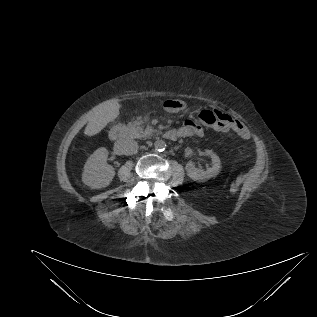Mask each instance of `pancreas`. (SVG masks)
<instances>
[{"label":"pancreas","instance_id":"1","mask_svg":"<svg viewBox=\"0 0 317 317\" xmlns=\"http://www.w3.org/2000/svg\"><path fill=\"white\" fill-rule=\"evenodd\" d=\"M143 120L141 118H138L137 120L129 123L125 127V132L134 138H141L145 136L151 135L155 130L153 127L147 125V127L144 129Z\"/></svg>","mask_w":317,"mask_h":317}]
</instances>
